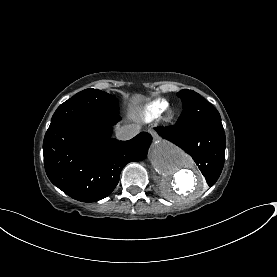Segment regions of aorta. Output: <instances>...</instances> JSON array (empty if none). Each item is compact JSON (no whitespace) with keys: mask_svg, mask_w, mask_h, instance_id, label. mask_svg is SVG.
<instances>
[{"mask_svg":"<svg viewBox=\"0 0 277 277\" xmlns=\"http://www.w3.org/2000/svg\"><path fill=\"white\" fill-rule=\"evenodd\" d=\"M150 160L160 176L161 191L168 200L188 203L205 191L201 172L192 159L173 144L157 140L151 148Z\"/></svg>","mask_w":277,"mask_h":277,"instance_id":"aorta-1","label":"aorta"}]
</instances>
